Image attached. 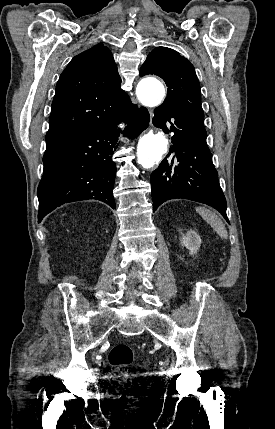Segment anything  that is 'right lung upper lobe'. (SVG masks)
<instances>
[{"label":"right lung upper lobe","instance_id":"1","mask_svg":"<svg viewBox=\"0 0 275 429\" xmlns=\"http://www.w3.org/2000/svg\"><path fill=\"white\" fill-rule=\"evenodd\" d=\"M120 83L113 55L103 44L75 56L57 82L46 142L118 118L131 102Z\"/></svg>","mask_w":275,"mask_h":429}]
</instances>
